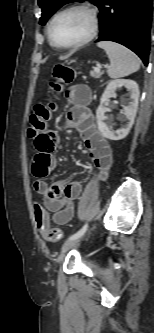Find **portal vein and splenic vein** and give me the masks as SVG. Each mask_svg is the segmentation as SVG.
<instances>
[{"label":"portal vein and splenic vein","mask_w":154,"mask_h":333,"mask_svg":"<svg viewBox=\"0 0 154 333\" xmlns=\"http://www.w3.org/2000/svg\"><path fill=\"white\" fill-rule=\"evenodd\" d=\"M102 67H101V65H98V67L96 68L98 71H100V69H101Z\"/></svg>","instance_id":"18ae733b"}]
</instances>
